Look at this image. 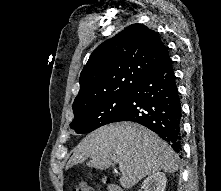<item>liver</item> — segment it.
Returning a JSON list of instances; mask_svg holds the SVG:
<instances>
[{
  "label": "liver",
  "mask_w": 221,
  "mask_h": 191,
  "mask_svg": "<svg viewBox=\"0 0 221 191\" xmlns=\"http://www.w3.org/2000/svg\"><path fill=\"white\" fill-rule=\"evenodd\" d=\"M92 160L88 166L108 168L118 163L120 183L131 188L139 180L159 170H178V156L154 132L132 122L103 126L87 135L74 149L69 166Z\"/></svg>",
  "instance_id": "obj_1"
}]
</instances>
